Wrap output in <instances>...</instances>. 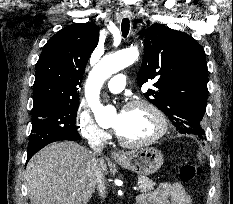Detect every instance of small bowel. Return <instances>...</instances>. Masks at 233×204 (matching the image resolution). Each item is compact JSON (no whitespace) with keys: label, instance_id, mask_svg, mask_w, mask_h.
<instances>
[{"label":"small bowel","instance_id":"obj_1","mask_svg":"<svg viewBox=\"0 0 233 204\" xmlns=\"http://www.w3.org/2000/svg\"><path fill=\"white\" fill-rule=\"evenodd\" d=\"M137 204H192V200L181 183L164 182L155 190L141 194Z\"/></svg>","mask_w":233,"mask_h":204}]
</instances>
